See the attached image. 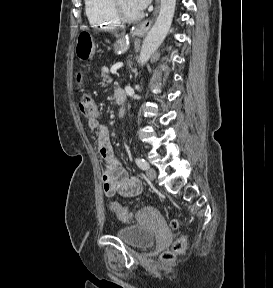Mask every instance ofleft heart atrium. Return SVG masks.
I'll return each mask as SVG.
<instances>
[{
	"label": "left heart atrium",
	"mask_w": 273,
	"mask_h": 288,
	"mask_svg": "<svg viewBox=\"0 0 273 288\" xmlns=\"http://www.w3.org/2000/svg\"><path fill=\"white\" fill-rule=\"evenodd\" d=\"M150 0H130L133 7L138 11H143L147 5L149 4Z\"/></svg>",
	"instance_id": "left-heart-atrium-1"
}]
</instances>
